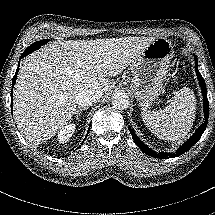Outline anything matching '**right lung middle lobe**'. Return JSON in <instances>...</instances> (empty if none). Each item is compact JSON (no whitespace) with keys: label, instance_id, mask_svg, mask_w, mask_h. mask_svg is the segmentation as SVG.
<instances>
[{"label":"right lung middle lobe","instance_id":"1","mask_svg":"<svg viewBox=\"0 0 215 215\" xmlns=\"http://www.w3.org/2000/svg\"><path fill=\"white\" fill-rule=\"evenodd\" d=\"M47 42H48L47 39L37 41V42L33 43L32 45H30L25 51L27 52V54H30L31 52L39 49L42 45L46 44Z\"/></svg>","mask_w":215,"mask_h":215}]
</instances>
